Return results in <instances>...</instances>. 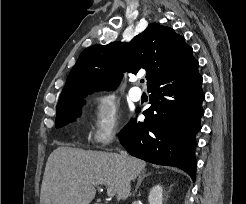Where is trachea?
Wrapping results in <instances>:
<instances>
[{
    "label": "trachea",
    "mask_w": 246,
    "mask_h": 204,
    "mask_svg": "<svg viewBox=\"0 0 246 204\" xmlns=\"http://www.w3.org/2000/svg\"><path fill=\"white\" fill-rule=\"evenodd\" d=\"M140 82H141V83H144V80L142 79V80H140Z\"/></svg>",
    "instance_id": "obj_1"
}]
</instances>
